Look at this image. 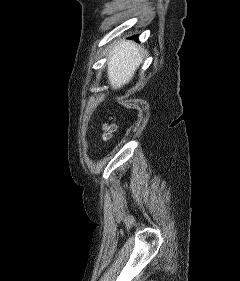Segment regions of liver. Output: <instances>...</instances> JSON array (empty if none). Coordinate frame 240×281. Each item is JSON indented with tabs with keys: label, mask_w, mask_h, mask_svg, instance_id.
<instances>
[{
	"label": "liver",
	"mask_w": 240,
	"mask_h": 281,
	"mask_svg": "<svg viewBox=\"0 0 240 281\" xmlns=\"http://www.w3.org/2000/svg\"><path fill=\"white\" fill-rule=\"evenodd\" d=\"M144 50L132 41H119L109 52L107 76L113 89L129 83L143 61Z\"/></svg>",
	"instance_id": "1"
}]
</instances>
